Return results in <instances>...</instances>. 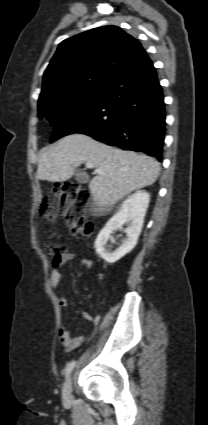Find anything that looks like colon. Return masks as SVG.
<instances>
[{"label":"colon","mask_w":208,"mask_h":425,"mask_svg":"<svg viewBox=\"0 0 208 425\" xmlns=\"http://www.w3.org/2000/svg\"><path fill=\"white\" fill-rule=\"evenodd\" d=\"M89 193L74 182L55 184L41 206L40 212L47 220H53L60 208H65L67 226L72 235H90L93 227L85 217ZM49 255L54 257V262L59 260L61 249L59 246L49 244L46 246Z\"/></svg>","instance_id":"1"}]
</instances>
